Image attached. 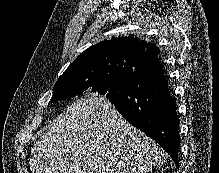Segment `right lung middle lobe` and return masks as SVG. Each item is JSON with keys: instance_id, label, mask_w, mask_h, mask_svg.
Here are the masks:
<instances>
[{"instance_id": "right-lung-middle-lobe-1", "label": "right lung middle lobe", "mask_w": 219, "mask_h": 173, "mask_svg": "<svg viewBox=\"0 0 219 173\" xmlns=\"http://www.w3.org/2000/svg\"><path fill=\"white\" fill-rule=\"evenodd\" d=\"M134 68L123 62L75 70L63 74L54 86L50 102L78 95L85 90L105 96L126 74Z\"/></svg>"}]
</instances>
